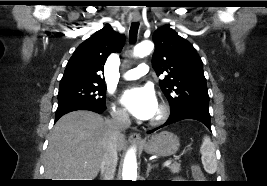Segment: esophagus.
I'll return each instance as SVG.
<instances>
[{
	"instance_id": "1",
	"label": "esophagus",
	"mask_w": 267,
	"mask_h": 186,
	"mask_svg": "<svg viewBox=\"0 0 267 186\" xmlns=\"http://www.w3.org/2000/svg\"><path fill=\"white\" fill-rule=\"evenodd\" d=\"M133 20L134 21H139L140 20V15H134L133 16ZM129 140L132 141V142H135V143H142L143 142L142 139H141L140 134L136 133V132L131 133L129 135Z\"/></svg>"
}]
</instances>
